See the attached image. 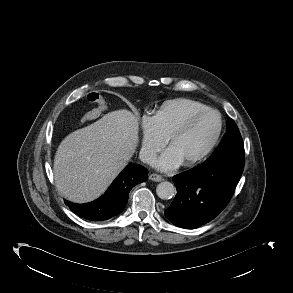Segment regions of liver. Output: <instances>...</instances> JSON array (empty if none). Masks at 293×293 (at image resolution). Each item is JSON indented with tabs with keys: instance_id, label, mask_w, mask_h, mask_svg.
I'll use <instances>...</instances> for the list:
<instances>
[{
	"instance_id": "obj_1",
	"label": "liver",
	"mask_w": 293,
	"mask_h": 293,
	"mask_svg": "<svg viewBox=\"0 0 293 293\" xmlns=\"http://www.w3.org/2000/svg\"><path fill=\"white\" fill-rule=\"evenodd\" d=\"M138 127L132 112L122 109L66 136L54 159L57 190L75 203L98 198L133 156Z\"/></svg>"
}]
</instances>
